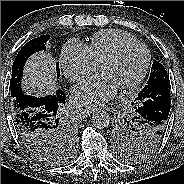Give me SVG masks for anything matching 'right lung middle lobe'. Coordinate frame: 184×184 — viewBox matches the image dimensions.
<instances>
[{"mask_svg": "<svg viewBox=\"0 0 184 184\" xmlns=\"http://www.w3.org/2000/svg\"><path fill=\"white\" fill-rule=\"evenodd\" d=\"M49 35H41L26 43L19 51L12 65V77L10 81L11 97L14 94L23 92L21 79L23 67L27 59L34 54L46 49V42ZM57 76L59 77V63H57ZM49 141L46 143H24L30 153L45 164H56L63 161L67 150H72L75 144V133L68 124L64 115L59 113L48 121Z\"/></svg>", "mask_w": 184, "mask_h": 184, "instance_id": "1", "label": "right lung middle lobe"}]
</instances>
